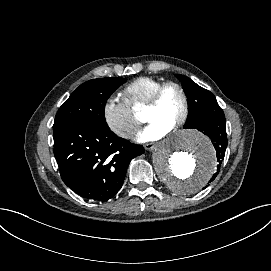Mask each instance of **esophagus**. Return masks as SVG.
Segmentation results:
<instances>
[{
  "label": "esophagus",
  "instance_id": "obj_1",
  "mask_svg": "<svg viewBox=\"0 0 271 271\" xmlns=\"http://www.w3.org/2000/svg\"><path fill=\"white\" fill-rule=\"evenodd\" d=\"M156 144L154 142H151V143H146L144 145V148L148 151H151L155 148Z\"/></svg>",
  "mask_w": 271,
  "mask_h": 271
}]
</instances>
